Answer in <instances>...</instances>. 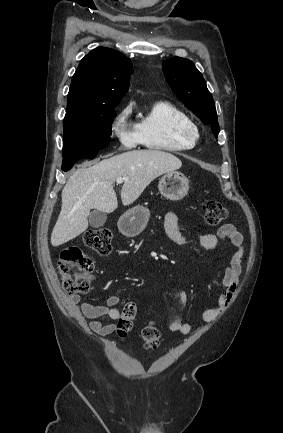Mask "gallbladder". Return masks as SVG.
Returning <instances> with one entry per match:
<instances>
[{
    "label": "gallbladder",
    "instance_id": "gallbladder-1",
    "mask_svg": "<svg viewBox=\"0 0 283 433\" xmlns=\"http://www.w3.org/2000/svg\"><path fill=\"white\" fill-rule=\"evenodd\" d=\"M107 214L105 212H101V210H92L89 214V223L91 227L94 229H98V227H103L104 223H106Z\"/></svg>",
    "mask_w": 283,
    "mask_h": 433
}]
</instances>
